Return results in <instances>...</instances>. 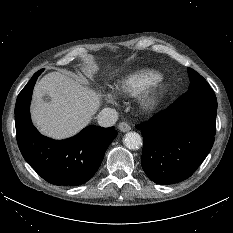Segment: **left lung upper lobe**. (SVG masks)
<instances>
[{"label": "left lung upper lobe", "instance_id": "1", "mask_svg": "<svg viewBox=\"0 0 233 233\" xmlns=\"http://www.w3.org/2000/svg\"><path fill=\"white\" fill-rule=\"evenodd\" d=\"M188 74L190 77V85L188 91L209 88V84L206 82V80L195 70L188 68Z\"/></svg>", "mask_w": 233, "mask_h": 233}]
</instances>
